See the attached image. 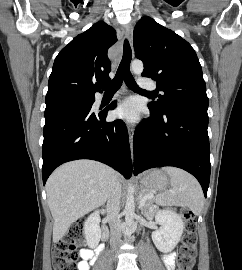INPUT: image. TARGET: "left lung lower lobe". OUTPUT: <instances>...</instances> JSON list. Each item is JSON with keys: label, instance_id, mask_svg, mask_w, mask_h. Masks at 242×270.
<instances>
[{"label": "left lung lower lobe", "instance_id": "left-lung-lower-lobe-1", "mask_svg": "<svg viewBox=\"0 0 242 270\" xmlns=\"http://www.w3.org/2000/svg\"><path fill=\"white\" fill-rule=\"evenodd\" d=\"M134 134V174L154 167L174 166L194 175L205 197L210 180L208 107L183 106L155 112Z\"/></svg>", "mask_w": 242, "mask_h": 270}]
</instances>
